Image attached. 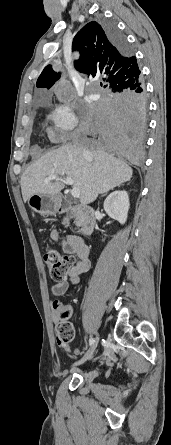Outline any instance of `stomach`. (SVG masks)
Here are the masks:
<instances>
[{"instance_id": "0dacf381", "label": "stomach", "mask_w": 171, "mask_h": 445, "mask_svg": "<svg viewBox=\"0 0 171 445\" xmlns=\"http://www.w3.org/2000/svg\"><path fill=\"white\" fill-rule=\"evenodd\" d=\"M28 205L31 210L41 215H51L59 208V197L57 195L33 194L28 199Z\"/></svg>"}]
</instances>
